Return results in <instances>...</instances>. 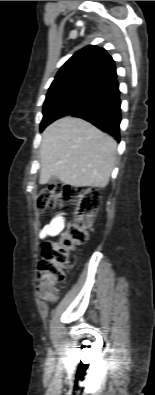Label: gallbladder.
<instances>
[{
	"label": "gallbladder",
	"instance_id": "gallbladder-1",
	"mask_svg": "<svg viewBox=\"0 0 155 395\" xmlns=\"http://www.w3.org/2000/svg\"><path fill=\"white\" fill-rule=\"evenodd\" d=\"M56 177H53V178H51L50 180H49V182H53V181H56Z\"/></svg>",
	"mask_w": 155,
	"mask_h": 395
}]
</instances>
